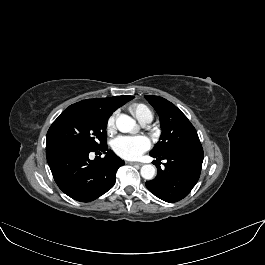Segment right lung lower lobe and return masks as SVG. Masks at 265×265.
I'll return each mask as SVG.
<instances>
[{
    "label": "right lung lower lobe",
    "instance_id": "1",
    "mask_svg": "<svg viewBox=\"0 0 265 265\" xmlns=\"http://www.w3.org/2000/svg\"><path fill=\"white\" fill-rule=\"evenodd\" d=\"M106 152L104 158L89 159L90 152ZM46 157L58 187L71 198L90 202L115 184L116 172L124 165L112 150L104 146L96 150L77 147L46 148Z\"/></svg>",
    "mask_w": 265,
    "mask_h": 265
}]
</instances>
